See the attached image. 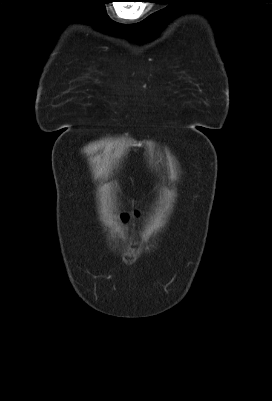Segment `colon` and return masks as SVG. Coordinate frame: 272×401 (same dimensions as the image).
<instances>
[{
    "label": "colon",
    "instance_id": "1",
    "mask_svg": "<svg viewBox=\"0 0 272 401\" xmlns=\"http://www.w3.org/2000/svg\"><path fill=\"white\" fill-rule=\"evenodd\" d=\"M128 219H129V215H124V216H123V220H124V221H127Z\"/></svg>",
    "mask_w": 272,
    "mask_h": 401
}]
</instances>
